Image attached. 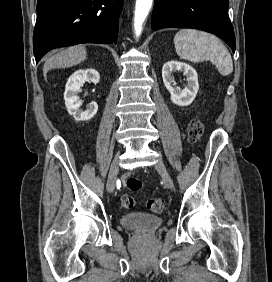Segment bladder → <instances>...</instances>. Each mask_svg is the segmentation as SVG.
<instances>
[{"label": "bladder", "mask_w": 272, "mask_h": 282, "mask_svg": "<svg viewBox=\"0 0 272 282\" xmlns=\"http://www.w3.org/2000/svg\"><path fill=\"white\" fill-rule=\"evenodd\" d=\"M120 223L135 232L151 233L162 225L163 220L156 215L133 212L122 216Z\"/></svg>", "instance_id": "obj_1"}]
</instances>
